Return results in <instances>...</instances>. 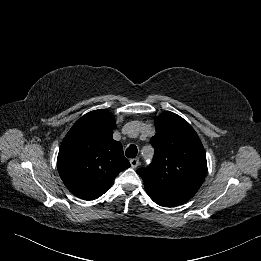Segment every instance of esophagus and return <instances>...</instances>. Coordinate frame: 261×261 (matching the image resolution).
<instances>
[{"mask_svg":"<svg viewBox=\"0 0 261 261\" xmlns=\"http://www.w3.org/2000/svg\"><path fill=\"white\" fill-rule=\"evenodd\" d=\"M130 164L132 168H136L139 165V159L138 158L131 159Z\"/></svg>","mask_w":261,"mask_h":261,"instance_id":"obj_1","label":"esophagus"}]
</instances>
